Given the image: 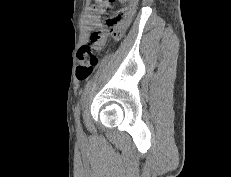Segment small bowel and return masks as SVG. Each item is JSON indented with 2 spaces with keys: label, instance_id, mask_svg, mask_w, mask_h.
Returning a JSON list of instances; mask_svg holds the SVG:
<instances>
[{
  "label": "small bowel",
  "instance_id": "obj_1",
  "mask_svg": "<svg viewBox=\"0 0 231 177\" xmlns=\"http://www.w3.org/2000/svg\"><path fill=\"white\" fill-rule=\"evenodd\" d=\"M97 2L101 3V0H96ZM91 12L88 13L85 16V24L89 27L90 25L96 24L97 23V16H96V11L97 9L95 7H92ZM128 25V17L126 19H124V22L120 25L119 29H118V33L123 32V30L127 27ZM104 43V40H101L99 42L93 43L92 47L94 50H98Z\"/></svg>",
  "mask_w": 231,
  "mask_h": 177
}]
</instances>
